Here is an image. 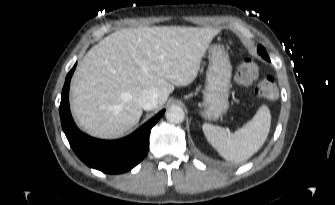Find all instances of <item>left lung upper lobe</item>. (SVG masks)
Returning <instances> with one entry per match:
<instances>
[{
    "instance_id": "obj_1",
    "label": "left lung upper lobe",
    "mask_w": 335,
    "mask_h": 205,
    "mask_svg": "<svg viewBox=\"0 0 335 205\" xmlns=\"http://www.w3.org/2000/svg\"><path fill=\"white\" fill-rule=\"evenodd\" d=\"M258 54L262 56L267 61H270L265 48L261 45L258 46Z\"/></svg>"
}]
</instances>
